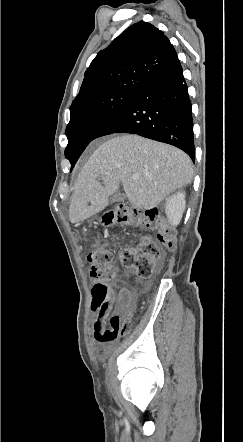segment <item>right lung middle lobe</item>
<instances>
[{"label": "right lung middle lobe", "instance_id": "right-lung-middle-lobe-1", "mask_svg": "<svg viewBox=\"0 0 243 442\" xmlns=\"http://www.w3.org/2000/svg\"><path fill=\"white\" fill-rule=\"evenodd\" d=\"M133 93L134 90L115 91L70 110V122L65 131L68 138L65 157L70 161L71 168L99 130Z\"/></svg>", "mask_w": 243, "mask_h": 442}]
</instances>
